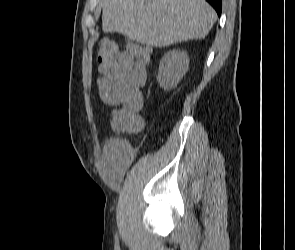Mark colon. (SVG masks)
<instances>
[{"label": "colon", "mask_w": 295, "mask_h": 250, "mask_svg": "<svg viewBox=\"0 0 295 250\" xmlns=\"http://www.w3.org/2000/svg\"><path fill=\"white\" fill-rule=\"evenodd\" d=\"M147 48L137 44H129L124 50L113 42L104 39L98 49V62L100 71L105 74L114 69L123 52L137 53ZM140 109L132 105H121L110 114V124L113 129L127 132H138L144 126V120L139 114Z\"/></svg>", "instance_id": "colon-1"}]
</instances>
